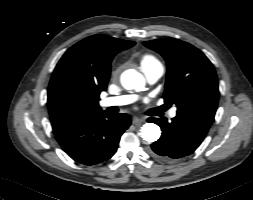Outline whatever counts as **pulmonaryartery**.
<instances>
[{
    "mask_svg": "<svg viewBox=\"0 0 253 200\" xmlns=\"http://www.w3.org/2000/svg\"><path fill=\"white\" fill-rule=\"evenodd\" d=\"M141 70L144 73L149 83H155L163 75L164 69L161 63L155 62L152 64L141 65ZM137 99V95H120L107 97L101 100L102 107L123 106L133 103ZM177 114L176 108L169 111V116L174 118Z\"/></svg>",
    "mask_w": 253,
    "mask_h": 200,
    "instance_id": "obj_1",
    "label": "pulmonary artery"
}]
</instances>
